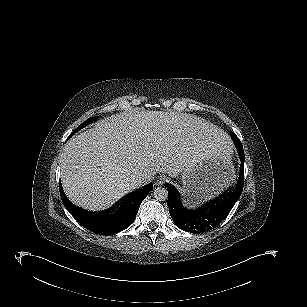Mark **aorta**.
Masks as SVG:
<instances>
[{
    "label": "aorta",
    "instance_id": "aorta-1",
    "mask_svg": "<svg viewBox=\"0 0 307 307\" xmlns=\"http://www.w3.org/2000/svg\"><path fill=\"white\" fill-rule=\"evenodd\" d=\"M154 198L157 201H165L168 198V191L166 188L163 187H157L154 189Z\"/></svg>",
    "mask_w": 307,
    "mask_h": 307
}]
</instances>
